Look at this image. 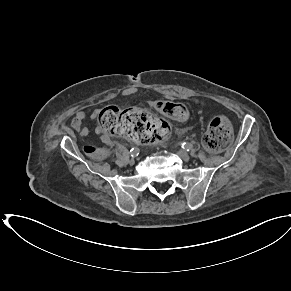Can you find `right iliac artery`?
<instances>
[{
    "label": "right iliac artery",
    "instance_id": "82829eb1",
    "mask_svg": "<svg viewBox=\"0 0 291 291\" xmlns=\"http://www.w3.org/2000/svg\"><path fill=\"white\" fill-rule=\"evenodd\" d=\"M130 153H131V156H132V157L137 156V155L139 154V148H137V147L132 148V149L130 150Z\"/></svg>",
    "mask_w": 291,
    "mask_h": 291
}]
</instances>
